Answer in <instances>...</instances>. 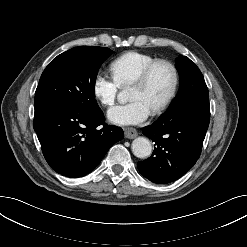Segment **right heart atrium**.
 Segmentation results:
<instances>
[{
  "mask_svg": "<svg viewBox=\"0 0 247 247\" xmlns=\"http://www.w3.org/2000/svg\"><path fill=\"white\" fill-rule=\"evenodd\" d=\"M120 86L104 72H98L93 79V94L103 106L114 104Z\"/></svg>",
  "mask_w": 247,
  "mask_h": 247,
  "instance_id": "d8ad5b80",
  "label": "right heart atrium"
}]
</instances>
